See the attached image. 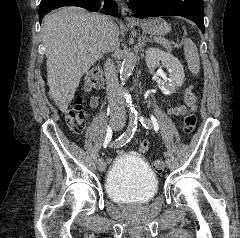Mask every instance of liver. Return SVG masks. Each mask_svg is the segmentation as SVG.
<instances>
[{"label":"liver","mask_w":240,"mask_h":238,"mask_svg":"<svg viewBox=\"0 0 240 238\" xmlns=\"http://www.w3.org/2000/svg\"><path fill=\"white\" fill-rule=\"evenodd\" d=\"M96 15L78 7H64L43 20L49 94L63 113L82 76L105 53L119 48L118 26L112 20L105 28Z\"/></svg>","instance_id":"liver-1"}]
</instances>
